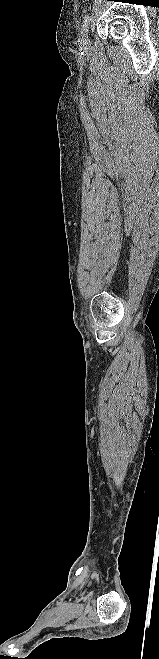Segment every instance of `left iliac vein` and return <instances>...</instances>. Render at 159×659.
<instances>
[{
  "label": "left iliac vein",
  "mask_w": 159,
  "mask_h": 659,
  "mask_svg": "<svg viewBox=\"0 0 159 659\" xmlns=\"http://www.w3.org/2000/svg\"><path fill=\"white\" fill-rule=\"evenodd\" d=\"M82 43L87 45L90 43V37L88 34V30L84 31L83 36H82Z\"/></svg>",
  "instance_id": "left-iliac-vein-1"
}]
</instances>
